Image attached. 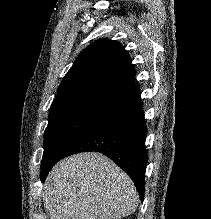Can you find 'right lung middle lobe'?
<instances>
[{
  "mask_svg": "<svg viewBox=\"0 0 211 219\" xmlns=\"http://www.w3.org/2000/svg\"><path fill=\"white\" fill-rule=\"evenodd\" d=\"M118 106L95 98H79L51 105L44 132L41 180L70 146Z\"/></svg>",
  "mask_w": 211,
  "mask_h": 219,
  "instance_id": "right-lung-middle-lobe-1",
  "label": "right lung middle lobe"
}]
</instances>
